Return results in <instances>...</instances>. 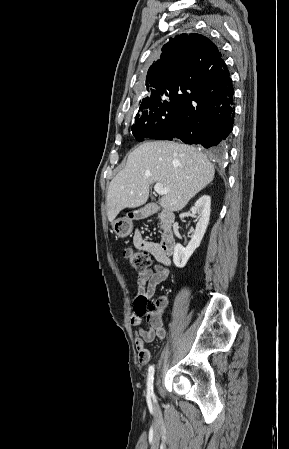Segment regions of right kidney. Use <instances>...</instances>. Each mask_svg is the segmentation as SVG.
Wrapping results in <instances>:
<instances>
[{
    "mask_svg": "<svg viewBox=\"0 0 289 449\" xmlns=\"http://www.w3.org/2000/svg\"><path fill=\"white\" fill-rule=\"evenodd\" d=\"M191 212L198 213V222L193 237L186 248L181 244H176L174 248L173 262L179 268L185 267L191 255L200 246L209 223L211 197L209 195L201 196L191 208Z\"/></svg>",
    "mask_w": 289,
    "mask_h": 449,
    "instance_id": "obj_1",
    "label": "right kidney"
}]
</instances>
